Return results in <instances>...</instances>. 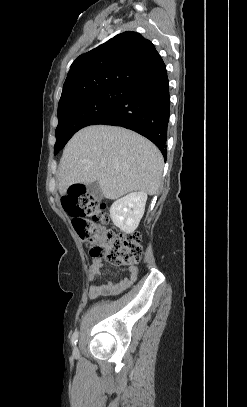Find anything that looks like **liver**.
<instances>
[{
    "instance_id": "obj_1",
    "label": "liver",
    "mask_w": 247,
    "mask_h": 407,
    "mask_svg": "<svg viewBox=\"0 0 247 407\" xmlns=\"http://www.w3.org/2000/svg\"><path fill=\"white\" fill-rule=\"evenodd\" d=\"M163 170L159 149L143 136L115 126L78 131L66 145L59 165V192L72 184L97 181L107 199L132 191L157 193Z\"/></svg>"
}]
</instances>
